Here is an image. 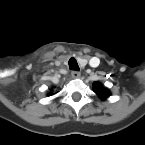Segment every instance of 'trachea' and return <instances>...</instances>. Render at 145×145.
<instances>
[{
    "instance_id": "trachea-1",
    "label": "trachea",
    "mask_w": 145,
    "mask_h": 145,
    "mask_svg": "<svg viewBox=\"0 0 145 145\" xmlns=\"http://www.w3.org/2000/svg\"><path fill=\"white\" fill-rule=\"evenodd\" d=\"M69 69L79 71V66L75 58L69 59Z\"/></svg>"
}]
</instances>
